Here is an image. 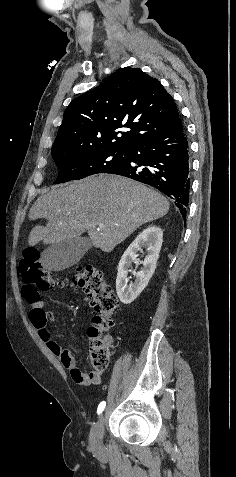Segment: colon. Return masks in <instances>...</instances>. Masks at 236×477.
I'll return each instance as SVG.
<instances>
[{"label":"colon","mask_w":236,"mask_h":477,"mask_svg":"<svg viewBox=\"0 0 236 477\" xmlns=\"http://www.w3.org/2000/svg\"><path fill=\"white\" fill-rule=\"evenodd\" d=\"M19 272L23 281V296L28 302L36 301L40 291L65 284L64 280L55 278L43 268L40 252L36 249L24 252ZM70 283L82 290L93 306L95 317L94 327L89 331V359L95 371L103 372L109 364V350L102 334L113 326L119 301L105 283L102 271L94 266L80 267Z\"/></svg>","instance_id":"5ec220e1"}]
</instances>
